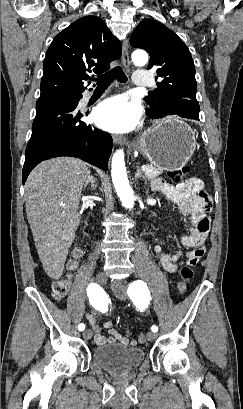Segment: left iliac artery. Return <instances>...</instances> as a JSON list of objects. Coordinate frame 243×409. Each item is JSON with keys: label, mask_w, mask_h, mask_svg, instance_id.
<instances>
[{"label": "left iliac artery", "mask_w": 243, "mask_h": 409, "mask_svg": "<svg viewBox=\"0 0 243 409\" xmlns=\"http://www.w3.org/2000/svg\"><path fill=\"white\" fill-rule=\"evenodd\" d=\"M127 293L134 302L138 301V299L141 298L142 296H146L149 298L148 288L146 284L141 280L131 283L129 285ZM151 330L155 333L158 331V327L153 325L151 327Z\"/></svg>", "instance_id": "44dca946"}]
</instances>
